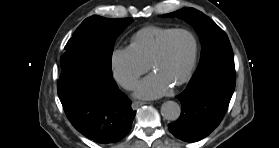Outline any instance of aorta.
<instances>
[{"instance_id": "762f6f07", "label": "aorta", "mask_w": 279, "mask_h": 148, "mask_svg": "<svg viewBox=\"0 0 279 148\" xmlns=\"http://www.w3.org/2000/svg\"><path fill=\"white\" fill-rule=\"evenodd\" d=\"M161 113L165 119L175 121L180 116L181 108L175 101H166L161 106Z\"/></svg>"}]
</instances>
